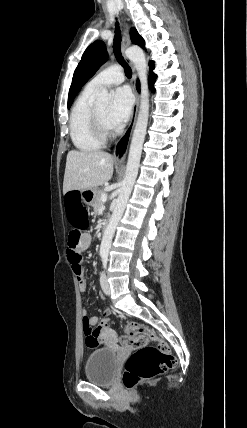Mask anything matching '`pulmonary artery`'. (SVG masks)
<instances>
[{
    "label": "pulmonary artery",
    "mask_w": 247,
    "mask_h": 428,
    "mask_svg": "<svg viewBox=\"0 0 247 428\" xmlns=\"http://www.w3.org/2000/svg\"><path fill=\"white\" fill-rule=\"evenodd\" d=\"M124 81L122 68L118 65H113L101 71L87 84L92 89H100L113 85L121 84Z\"/></svg>",
    "instance_id": "e3ab8cb5"
}]
</instances>
